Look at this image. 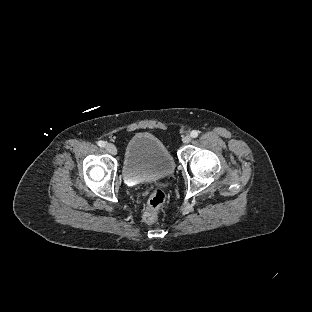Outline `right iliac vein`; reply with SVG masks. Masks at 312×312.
I'll use <instances>...</instances> for the list:
<instances>
[{
    "label": "right iliac vein",
    "mask_w": 312,
    "mask_h": 312,
    "mask_svg": "<svg viewBox=\"0 0 312 312\" xmlns=\"http://www.w3.org/2000/svg\"><path fill=\"white\" fill-rule=\"evenodd\" d=\"M105 149L107 150V152L111 153V154H116L117 153V148L115 145L111 144V143H107L105 145Z\"/></svg>",
    "instance_id": "63e3f726"
}]
</instances>
